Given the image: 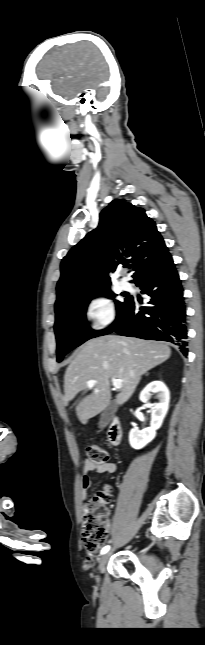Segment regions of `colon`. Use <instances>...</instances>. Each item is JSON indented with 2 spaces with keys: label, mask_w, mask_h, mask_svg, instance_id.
Wrapping results in <instances>:
<instances>
[{
  "label": "colon",
  "mask_w": 205,
  "mask_h": 645,
  "mask_svg": "<svg viewBox=\"0 0 205 645\" xmlns=\"http://www.w3.org/2000/svg\"><path fill=\"white\" fill-rule=\"evenodd\" d=\"M89 462L94 465L107 463L108 452L97 444L86 448ZM110 501V489L99 491L83 504L82 510V542L89 553H95L106 541L108 536L107 504Z\"/></svg>",
  "instance_id": "1"
}]
</instances>
